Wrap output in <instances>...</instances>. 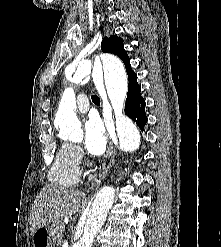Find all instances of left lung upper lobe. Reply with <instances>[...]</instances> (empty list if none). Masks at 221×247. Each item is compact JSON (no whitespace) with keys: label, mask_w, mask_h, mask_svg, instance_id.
<instances>
[{"label":"left lung upper lobe","mask_w":221,"mask_h":247,"mask_svg":"<svg viewBox=\"0 0 221 247\" xmlns=\"http://www.w3.org/2000/svg\"><path fill=\"white\" fill-rule=\"evenodd\" d=\"M101 49L103 52L113 53L117 55L124 62L128 74V79L136 75L131 68L127 52L124 50L122 38L115 35H112L109 38L105 37L101 43Z\"/></svg>","instance_id":"1"}]
</instances>
